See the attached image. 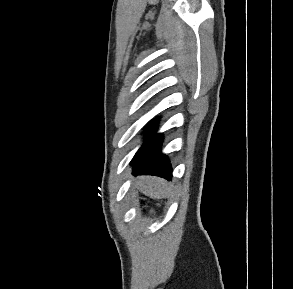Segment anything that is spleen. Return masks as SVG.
<instances>
[{
    "mask_svg": "<svg viewBox=\"0 0 293 289\" xmlns=\"http://www.w3.org/2000/svg\"><path fill=\"white\" fill-rule=\"evenodd\" d=\"M137 186L145 195L151 198L162 199L172 194V186L159 178H143L137 183Z\"/></svg>",
    "mask_w": 293,
    "mask_h": 289,
    "instance_id": "obj_1",
    "label": "spleen"
}]
</instances>
